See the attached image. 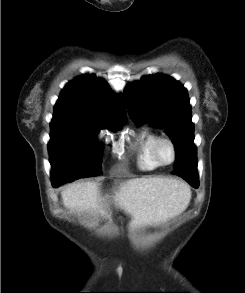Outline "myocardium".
<instances>
[{
  "label": "myocardium",
  "mask_w": 245,
  "mask_h": 293,
  "mask_svg": "<svg viewBox=\"0 0 245 293\" xmlns=\"http://www.w3.org/2000/svg\"><path fill=\"white\" fill-rule=\"evenodd\" d=\"M164 144L168 145L170 147V149H171L172 157H171V159L169 161H164L162 159V157H161V154H160L161 146L164 145ZM153 154H154V157H155L156 161L160 165H163V166L171 165V164H173L175 162V160L177 158L176 144L169 137H166V136L158 137L156 139V141H155V144H154Z\"/></svg>",
  "instance_id": "f54148a6"
}]
</instances>
